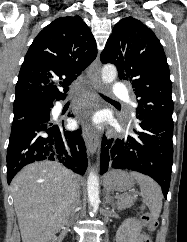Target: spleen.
Instances as JSON below:
<instances>
[{"label":"spleen","instance_id":"obj_1","mask_svg":"<svg viewBox=\"0 0 187 242\" xmlns=\"http://www.w3.org/2000/svg\"><path fill=\"white\" fill-rule=\"evenodd\" d=\"M141 188L143 202L148 206L152 217L158 219L162 209L163 195L159 185L150 177L138 172H131Z\"/></svg>","mask_w":187,"mask_h":242}]
</instances>
